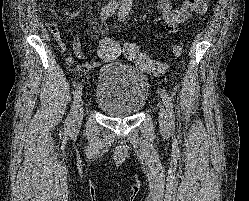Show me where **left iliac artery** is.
Here are the masks:
<instances>
[{
    "label": "left iliac artery",
    "instance_id": "44dca946",
    "mask_svg": "<svg viewBox=\"0 0 249 201\" xmlns=\"http://www.w3.org/2000/svg\"><path fill=\"white\" fill-rule=\"evenodd\" d=\"M132 8V0H125L124 3L122 4L118 16L120 21H124L126 16L129 14L130 10ZM164 104L166 106L167 110V115L169 119V125L174 128L175 126V116H174V110H173V103L171 101V98L167 94L165 89H162V94H161Z\"/></svg>",
    "mask_w": 249,
    "mask_h": 201
}]
</instances>
